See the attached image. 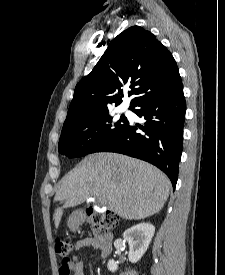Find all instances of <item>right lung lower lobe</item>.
Returning a JSON list of instances; mask_svg holds the SVG:
<instances>
[{
    "label": "right lung lower lobe",
    "mask_w": 225,
    "mask_h": 275,
    "mask_svg": "<svg viewBox=\"0 0 225 275\" xmlns=\"http://www.w3.org/2000/svg\"><path fill=\"white\" fill-rule=\"evenodd\" d=\"M132 111L146 120L145 126L128 125L97 152L109 151L136 157L154 164L175 188L182 153L186 104L179 81L141 99ZM141 129L143 133L137 132Z\"/></svg>",
    "instance_id": "1"
}]
</instances>
